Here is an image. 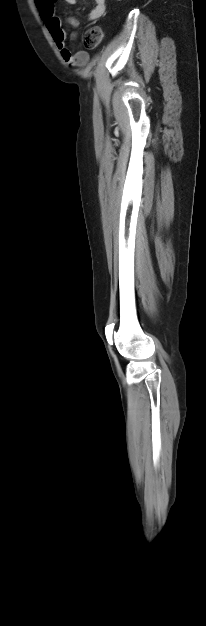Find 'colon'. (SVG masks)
I'll return each mask as SVG.
<instances>
[{
	"label": "colon",
	"mask_w": 206,
	"mask_h": 626,
	"mask_svg": "<svg viewBox=\"0 0 206 626\" xmlns=\"http://www.w3.org/2000/svg\"><path fill=\"white\" fill-rule=\"evenodd\" d=\"M103 38V31L100 27H92L84 36V44L87 48L96 47Z\"/></svg>",
	"instance_id": "obj_1"
}]
</instances>
